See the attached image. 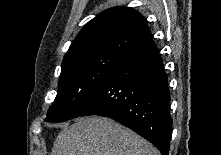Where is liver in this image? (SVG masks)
I'll list each match as a JSON object with an SVG mask.
<instances>
[{"label": "liver", "mask_w": 221, "mask_h": 155, "mask_svg": "<svg viewBox=\"0 0 221 155\" xmlns=\"http://www.w3.org/2000/svg\"><path fill=\"white\" fill-rule=\"evenodd\" d=\"M51 155H158L152 144L105 117L78 118L57 136Z\"/></svg>", "instance_id": "6515ba94"}]
</instances>
